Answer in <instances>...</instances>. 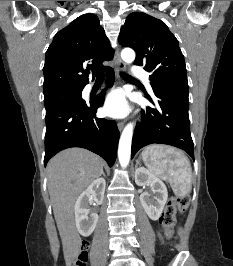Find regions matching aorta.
I'll use <instances>...</instances> for the list:
<instances>
[{
  "label": "aorta",
  "instance_id": "762f6f07",
  "mask_svg": "<svg viewBox=\"0 0 233 266\" xmlns=\"http://www.w3.org/2000/svg\"><path fill=\"white\" fill-rule=\"evenodd\" d=\"M121 58L125 63L131 64L135 60V52L131 48H124L121 52ZM132 136L133 125L128 124L121 134L118 147V158L123 168H125L130 161Z\"/></svg>",
  "mask_w": 233,
  "mask_h": 266
}]
</instances>
